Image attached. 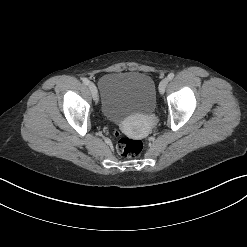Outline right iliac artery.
<instances>
[{
    "label": "right iliac artery",
    "instance_id": "right-iliac-artery-1",
    "mask_svg": "<svg viewBox=\"0 0 247 247\" xmlns=\"http://www.w3.org/2000/svg\"><path fill=\"white\" fill-rule=\"evenodd\" d=\"M82 81L85 85H88L89 84V80L87 78H82Z\"/></svg>",
    "mask_w": 247,
    "mask_h": 247
}]
</instances>
